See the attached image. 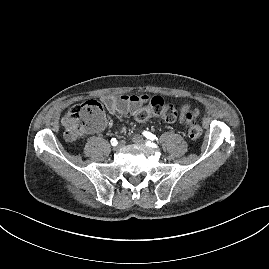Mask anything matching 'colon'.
<instances>
[{
	"label": "colon",
	"instance_id": "colon-1",
	"mask_svg": "<svg viewBox=\"0 0 269 269\" xmlns=\"http://www.w3.org/2000/svg\"><path fill=\"white\" fill-rule=\"evenodd\" d=\"M152 116H160L168 122L177 118V111L173 104L166 102L161 97H153L136 112L139 121H145ZM187 125L188 137L197 140L202 135V128L196 122L192 112L184 114ZM104 123V111L102 104L97 100H89L72 107L62 118L64 137L68 141H74L82 135L97 131Z\"/></svg>",
	"mask_w": 269,
	"mask_h": 269
}]
</instances>
